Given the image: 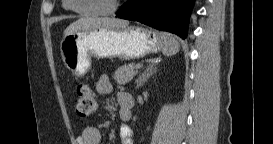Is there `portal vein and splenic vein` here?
Masks as SVG:
<instances>
[{"label": "portal vein and splenic vein", "mask_w": 273, "mask_h": 144, "mask_svg": "<svg viewBox=\"0 0 273 144\" xmlns=\"http://www.w3.org/2000/svg\"><path fill=\"white\" fill-rule=\"evenodd\" d=\"M142 67H143V64L139 63L137 64L136 69H141Z\"/></svg>", "instance_id": "portal-vein-and-splenic-vein-1"}]
</instances>
